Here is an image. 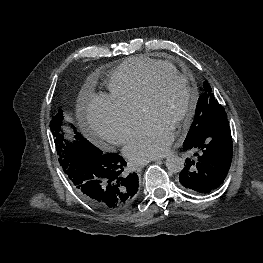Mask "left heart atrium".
<instances>
[{
    "mask_svg": "<svg viewBox=\"0 0 263 263\" xmlns=\"http://www.w3.org/2000/svg\"><path fill=\"white\" fill-rule=\"evenodd\" d=\"M174 139L173 130L161 120L147 117L132 134L125 154L135 163L164 155Z\"/></svg>",
    "mask_w": 263,
    "mask_h": 263,
    "instance_id": "left-heart-atrium-1",
    "label": "left heart atrium"
}]
</instances>
